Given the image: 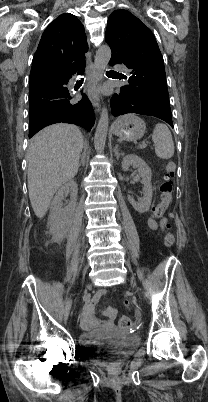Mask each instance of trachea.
I'll use <instances>...</instances> for the list:
<instances>
[{
    "label": "trachea",
    "instance_id": "trachea-1",
    "mask_svg": "<svg viewBox=\"0 0 208 402\" xmlns=\"http://www.w3.org/2000/svg\"><path fill=\"white\" fill-rule=\"evenodd\" d=\"M109 72H114L113 70H110Z\"/></svg>",
    "mask_w": 208,
    "mask_h": 402
}]
</instances>
